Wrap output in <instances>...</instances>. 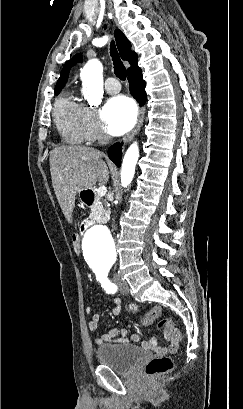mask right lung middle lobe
Masks as SVG:
<instances>
[{"instance_id": "obj_1", "label": "right lung middle lobe", "mask_w": 243, "mask_h": 409, "mask_svg": "<svg viewBox=\"0 0 243 409\" xmlns=\"http://www.w3.org/2000/svg\"><path fill=\"white\" fill-rule=\"evenodd\" d=\"M60 92H55L56 95H58Z\"/></svg>"}]
</instances>
